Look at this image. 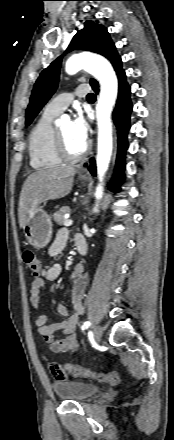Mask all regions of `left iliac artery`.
I'll return each mask as SVG.
<instances>
[{
    "label": "left iliac artery",
    "instance_id": "44dca946",
    "mask_svg": "<svg viewBox=\"0 0 174 440\" xmlns=\"http://www.w3.org/2000/svg\"><path fill=\"white\" fill-rule=\"evenodd\" d=\"M90 325H91V323H90L89 321H86V322H84L83 325L81 326V329H82V330H85V329H87Z\"/></svg>",
    "mask_w": 174,
    "mask_h": 440
}]
</instances>
